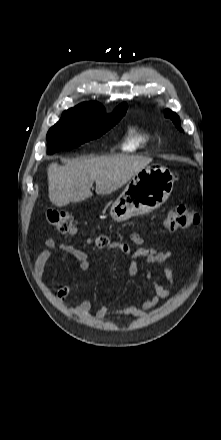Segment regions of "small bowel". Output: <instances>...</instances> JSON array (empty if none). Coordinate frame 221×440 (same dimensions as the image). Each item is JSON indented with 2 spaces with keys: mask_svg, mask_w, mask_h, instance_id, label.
Returning a JSON list of instances; mask_svg holds the SVG:
<instances>
[{
  "mask_svg": "<svg viewBox=\"0 0 221 440\" xmlns=\"http://www.w3.org/2000/svg\"><path fill=\"white\" fill-rule=\"evenodd\" d=\"M130 239L136 244L144 243L143 238L137 232H132L130 234ZM44 244L45 249L39 253L35 261V272L38 277H41L43 275L44 269L51 258V252L53 249H60L65 253L73 256L77 260L80 270L85 271L90 268L91 261L87 252L71 245L58 244L53 239L45 240ZM109 248L118 250L126 256L128 260L127 274L129 277H134L138 273V261L139 259L144 258L146 265L145 274L154 289V295L151 298L142 301L139 306L127 307L125 309L116 311V314L125 317L142 316L147 310L154 308L159 303L160 299L169 298L171 296V290L165 288L157 279H155L150 271V266L152 265H164V276L166 280L171 285L175 284L173 269V263L175 260L172 256V252L169 249L165 251H158L153 248L144 247L133 249L128 244L123 242H115L110 245ZM70 292L71 286L65 285L57 291V298L60 301H64L69 296ZM91 307L92 303L89 300H86L73 306L72 308L81 315H88L90 313ZM111 313L112 312L109 308V305L105 304L97 310L96 317L101 319L110 315Z\"/></svg>",
  "mask_w": 221,
  "mask_h": 440,
  "instance_id": "obj_1",
  "label": "small bowel"
}]
</instances>
